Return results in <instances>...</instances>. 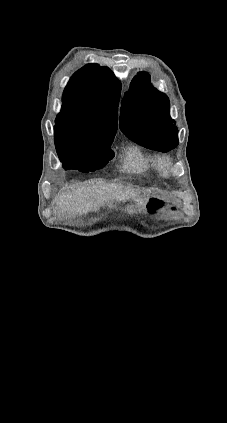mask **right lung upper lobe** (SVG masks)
<instances>
[{
	"instance_id": "cb5924a9",
	"label": "right lung upper lobe",
	"mask_w": 227,
	"mask_h": 423,
	"mask_svg": "<svg viewBox=\"0 0 227 423\" xmlns=\"http://www.w3.org/2000/svg\"><path fill=\"white\" fill-rule=\"evenodd\" d=\"M120 94L121 84L109 68L89 64L78 70L63 94L55 141L114 137Z\"/></svg>"
}]
</instances>
